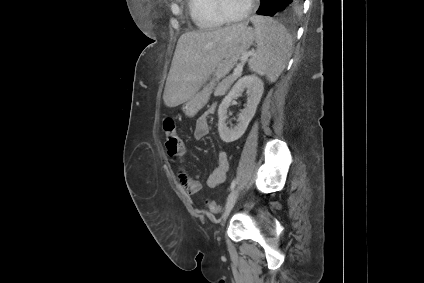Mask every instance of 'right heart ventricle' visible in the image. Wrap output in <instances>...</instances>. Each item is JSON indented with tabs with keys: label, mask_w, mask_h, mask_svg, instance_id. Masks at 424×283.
<instances>
[{
	"label": "right heart ventricle",
	"mask_w": 424,
	"mask_h": 283,
	"mask_svg": "<svg viewBox=\"0 0 424 283\" xmlns=\"http://www.w3.org/2000/svg\"><path fill=\"white\" fill-rule=\"evenodd\" d=\"M190 16L201 30H214L225 24L217 14L214 0H188Z\"/></svg>",
	"instance_id": "1"
}]
</instances>
